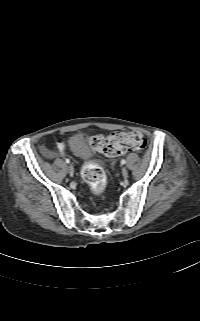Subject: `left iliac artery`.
<instances>
[{
	"label": "left iliac artery",
	"mask_w": 200,
	"mask_h": 321,
	"mask_svg": "<svg viewBox=\"0 0 200 321\" xmlns=\"http://www.w3.org/2000/svg\"><path fill=\"white\" fill-rule=\"evenodd\" d=\"M126 163V160L125 159H122L121 160V164L124 165Z\"/></svg>",
	"instance_id": "obj_1"
}]
</instances>
